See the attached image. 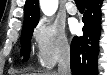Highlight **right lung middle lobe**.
Returning a JSON list of instances; mask_svg holds the SVG:
<instances>
[{"label":"right lung middle lobe","mask_w":107,"mask_h":75,"mask_svg":"<svg viewBox=\"0 0 107 75\" xmlns=\"http://www.w3.org/2000/svg\"><path fill=\"white\" fill-rule=\"evenodd\" d=\"M36 25L37 23H26L23 25L21 33V56L24 57V61H27L29 58L31 37Z\"/></svg>","instance_id":"right-lung-middle-lobe-1"}]
</instances>
